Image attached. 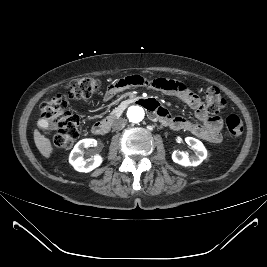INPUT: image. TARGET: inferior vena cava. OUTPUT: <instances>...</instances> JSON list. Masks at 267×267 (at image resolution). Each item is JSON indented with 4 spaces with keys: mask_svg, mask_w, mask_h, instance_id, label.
Returning <instances> with one entry per match:
<instances>
[{
    "mask_svg": "<svg viewBox=\"0 0 267 267\" xmlns=\"http://www.w3.org/2000/svg\"><path fill=\"white\" fill-rule=\"evenodd\" d=\"M126 125V120L123 118L117 119L112 124L113 131H120L122 130Z\"/></svg>",
    "mask_w": 267,
    "mask_h": 267,
    "instance_id": "602c4592",
    "label": "inferior vena cava"
}]
</instances>
